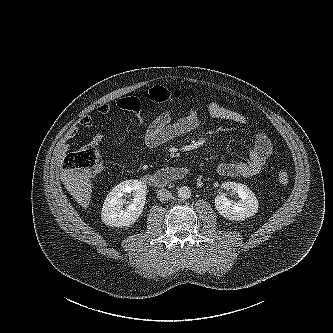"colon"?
Listing matches in <instances>:
<instances>
[{"mask_svg":"<svg viewBox=\"0 0 333 333\" xmlns=\"http://www.w3.org/2000/svg\"><path fill=\"white\" fill-rule=\"evenodd\" d=\"M145 96L158 104H171L178 95H172L166 88L162 86H154L150 88ZM64 166L67 169H75L85 171L89 174H98L103 169L102 156L94 144H89L68 154L64 159ZM277 180L281 185L289 182V174L286 170L278 173Z\"/></svg>","mask_w":333,"mask_h":333,"instance_id":"1","label":"colon"}]
</instances>
